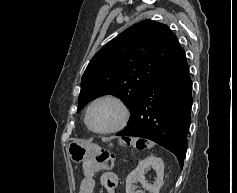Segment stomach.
<instances>
[{"mask_svg": "<svg viewBox=\"0 0 237 193\" xmlns=\"http://www.w3.org/2000/svg\"><path fill=\"white\" fill-rule=\"evenodd\" d=\"M98 149V146L91 143L73 141L68 145L67 153L73 162L79 163L94 156Z\"/></svg>", "mask_w": 237, "mask_h": 193, "instance_id": "stomach-1", "label": "stomach"}]
</instances>
